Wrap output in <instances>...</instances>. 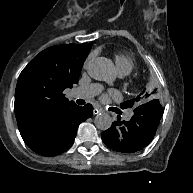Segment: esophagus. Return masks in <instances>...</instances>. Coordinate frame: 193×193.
<instances>
[{
  "label": "esophagus",
  "mask_w": 193,
  "mask_h": 193,
  "mask_svg": "<svg viewBox=\"0 0 193 193\" xmlns=\"http://www.w3.org/2000/svg\"><path fill=\"white\" fill-rule=\"evenodd\" d=\"M100 111H101V109H99V108H94L93 114H94V115H97V114H99Z\"/></svg>",
  "instance_id": "1"
}]
</instances>
